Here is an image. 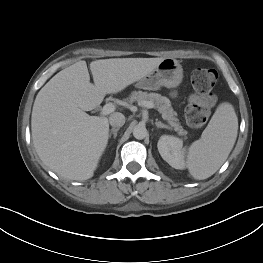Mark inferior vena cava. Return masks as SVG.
<instances>
[{
	"instance_id": "1",
	"label": "inferior vena cava",
	"mask_w": 263,
	"mask_h": 263,
	"mask_svg": "<svg viewBox=\"0 0 263 263\" xmlns=\"http://www.w3.org/2000/svg\"><path fill=\"white\" fill-rule=\"evenodd\" d=\"M110 125L113 127H121L125 124V116L122 113L116 112L109 117Z\"/></svg>"
}]
</instances>
